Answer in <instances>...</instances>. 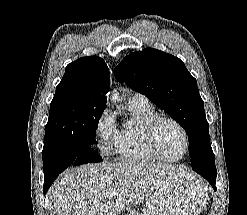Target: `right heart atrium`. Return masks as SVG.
I'll return each mask as SVG.
<instances>
[{
    "label": "right heart atrium",
    "instance_id": "right-heart-atrium-1",
    "mask_svg": "<svg viewBox=\"0 0 247 215\" xmlns=\"http://www.w3.org/2000/svg\"><path fill=\"white\" fill-rule=\"evenodd\" d=\"M95 132L99 138L100 148L103 153L110 151V145L117 134L115 118L109 110H103L97 118Z\"/></svg>",
    "mask_w": 247,
    "mask_h": 215
}]
</instances>
